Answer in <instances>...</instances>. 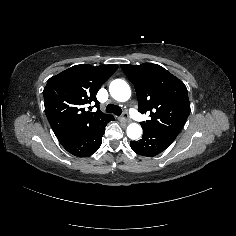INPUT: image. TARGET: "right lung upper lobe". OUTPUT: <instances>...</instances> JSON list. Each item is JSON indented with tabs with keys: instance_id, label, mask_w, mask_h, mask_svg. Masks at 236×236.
<instances>
[{
	"instance_id": "right-lung-upper-lobe-1",
	"label": "right lung upper lobe",
	"mask_w": 236,
	"mask_h": 236,
	"mask_svg": "<svg viewBox=\"0 0 236 236\" xmlns=\"http://www.w3.org/2000/svg\"><path fill=\"white\" fill-rule=\"evenodd\" d=\"M117 68L75 65L48 80L43 91L45 113L59 142L101 120L114 118L99 110L95 94ZM91 102H95L96 112L85 110Z\"/></svg>"
}]
</instances>
